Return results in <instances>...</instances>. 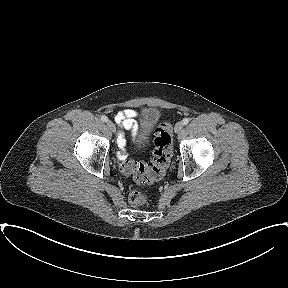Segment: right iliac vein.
<instances>
[{
    "mask_svg": "<svg viewBox=\"0 0 288 288\" xmlns=\"http://www.w3.org/2000/svg\"><path fill=\"white\" fill-rule=\"evenodd\" d=\"M108 128L114 133L116 131V126L112 121H107Z\"/></svg>",
    "mask_w": 288,
    "mask_h": 288,
    "instance_id": "right-iliac-vein-1",
    "label": "right iliac vein"
}]
</instances>
